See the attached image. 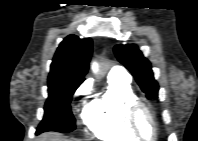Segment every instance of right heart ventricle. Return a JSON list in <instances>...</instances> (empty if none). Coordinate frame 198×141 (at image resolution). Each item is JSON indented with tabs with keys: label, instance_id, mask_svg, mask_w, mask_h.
I'll return each mask as SVG.
<instances>
[{
	"label": "right heart ventricle",
	"instance_id": "right-heart-ventricle-1",
	"mask_svg": "<svg viewBox=\"0 0 198 141\" xmlns=\"http://www.w3.org/2000/svg\"><path fill=\"white\" fill-rule=\"evenodd\" d=\"M133 98L135 94L129 82L108 79L107 90L85 108L83 123L101 140L137 141L125 118V106Z\"/></svg>",
	"mask_w": 198,
	"mask_h": 141
}]
</instances>
